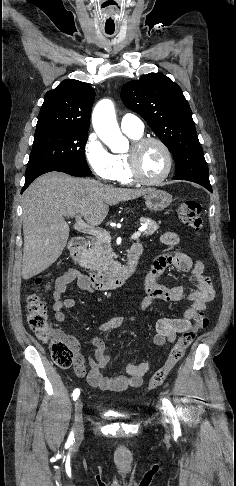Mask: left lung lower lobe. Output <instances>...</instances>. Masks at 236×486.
I'll return each instance as SVG.
<instances>
[{
  "label": "left lung lower lobe",
  "instance_id": "0a47b994",
  "mask_svg": "<svg viewBox=\"0 0 236 486\" xmlns=\"http://www.w3.org/2000/svg\"><path fill=\"white\" fill-rule=\"evenodd\" d=\"M207 189H208L209 191H212L211 186H207Z\"/></svg>",
  "mask_w": 236,
  "mask_h": 486
}]
</instances>
